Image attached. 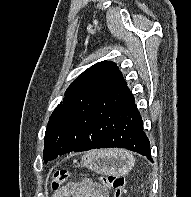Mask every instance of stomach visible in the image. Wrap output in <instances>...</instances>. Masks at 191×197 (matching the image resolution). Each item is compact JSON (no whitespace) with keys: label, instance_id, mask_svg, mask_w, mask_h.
<instances>
[{"label":"stomach","instance_id":"obj_1","mask_svg":"<svg viewBox=\"0 0 191 197\" xmlns=\"http://www.w3.org/2000/svg\"><path fill=\"white\" fill-rule=\"evenodd\" d=\"M80 164L98 174L122 176L131 170L134 161L120 150H93L82 156Z\"/></svg>","mask_w":191,"mask_h":197}]
</instances>
